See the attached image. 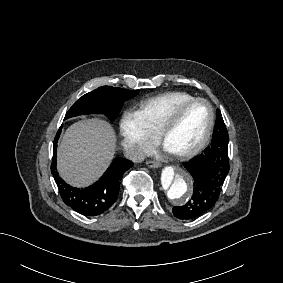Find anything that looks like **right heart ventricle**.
<instances>
[{
  "label": "right heart ventricle",
  "mask_w": 283,
  "mask_h": 283,
  "mask_svg": "<svg viewBox=\"0 0 283 283\" xmlns=\"http://www.w3.org/2000/svg\"><path fill=\"white\" fill-rule=\"evenodd\" d=\"M195 98L194 95L184 91L166 92L161 95L146 99L139 104L138 112L144 118L148 128L153 135L158 128V116L164 111L172 109L174 104Z\"/></svg>",
  "instance_id": "e07e8e85"
}]
</instances>
